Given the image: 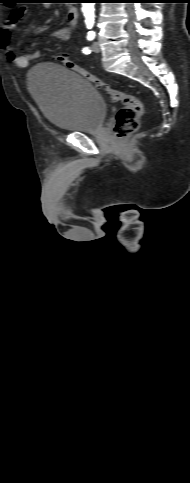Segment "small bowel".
<instances>
[{
	"label": "small bowel",
	"instance_id": "obj_1",
	"mask_svg": "<svg viewBox=\"0 0 190 483\" xmlns=\"http://www.w3.org/2000/svg\"><path fill=\"white\" fill-rule=\"evenodd\" d=\"M28 10L27 6H20L12 10L5 24L0 28V49L6 58L12 61L17 67L25 68L31 59L37 58L38 53L34 52L28 55H17L14 47L11 45V37L17 26V22L23 17ZM71 26L61 27L50 34L51 38L60 41H67L70 38Z\"/></svg>",
	"mask_w": 190,
	"mask_h": 483
}]
</instances>
